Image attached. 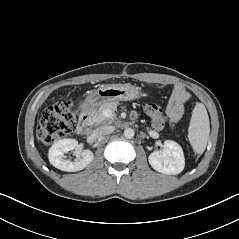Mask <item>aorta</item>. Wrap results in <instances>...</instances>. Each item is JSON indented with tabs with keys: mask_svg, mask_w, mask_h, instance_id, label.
I'll list each match as a JSON object with an SVG mask.
<instances>
[{
	"mask_svg": "<svg viewBox=\"0 0 239 239\" xmlns=\"http://www.w3.org/2000/svg\"><path fill=\"white\" fill-rule=\"evenodd\" d=\"M124 136L127 139H131L134 137V130L132 128H126L124 130Z\"/></svg>",
	"mask_w": 239,
	"mask_h": 239,
	"instance_id": "1",
	"label": "aorta"
}]
</instances>
